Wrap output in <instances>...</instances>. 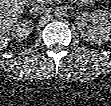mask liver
Returning <instances> with one entry per match:
<instances>
[{
    "label": "liver",
    "instance_id": "liver-1",
    "mask_svg": "<svg viewBox=\"0 0 111 106\" xmlns=\"http://www.w3.org/2000/svg\"><path fill=\"white\" fill-rule=\"evenodd\" d=\"M25 0L0 1V47L5 48L10 41L12 24L23 13Z\"/></svg>",
    "mask_w": 111,
    "mask_h": 106
}]
</instances>
